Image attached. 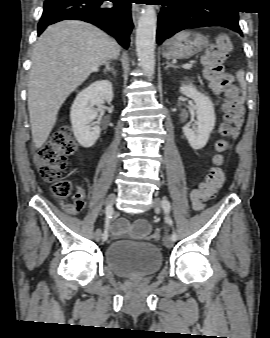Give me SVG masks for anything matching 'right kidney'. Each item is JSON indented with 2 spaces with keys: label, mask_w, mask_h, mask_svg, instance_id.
<instances>
[{
  "label": "right kidney",
  "mask_w": 270,
  "mask_h": 338,
  "mask_svg": "<svg viewBox=\"0 0 270 338\" xmlns=\"http://www.w3.org/2000/svg\"><path fill=\"white\" fill-rule=\"evenodd\" d=\"M113 99L112 83L100 80L82 90L71 107L70 118L73 133L79 144L89 148L100 136L99 123H92L98 116L94 106Z\"/></svg>",
  "instance_id": "ca27d5eb"
}]
</instances>
